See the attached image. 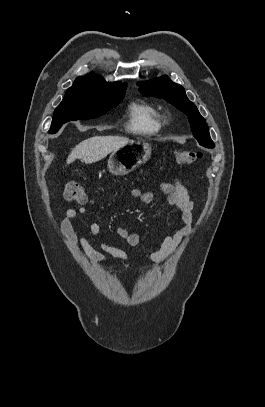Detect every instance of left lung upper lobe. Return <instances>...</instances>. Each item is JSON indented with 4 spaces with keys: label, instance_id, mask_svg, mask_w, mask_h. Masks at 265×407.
Returning a JSON list of instances; mask_svg holds the SVG:
<instances>
[{
    "label": "left lung upper lobe",
    "instance_id": "5c2ea615",
    "mask_svg": "<svg viewBox=\"0 0 265 407\" xmlns=\"http://www.w3.org/2000/svg\"><path fill=\"white\" fill-rule=\"evenodd\" d=\"M139 91L146 96L163 98L188 116L193 136L200 145L214 148L205 119L200 115L194 103L189 101L184 88L172 82L167 76L150 81L138 82Z\"/></svg>",
    "mask_w": 265,
    "mask_h": 407
}]
</instances>
